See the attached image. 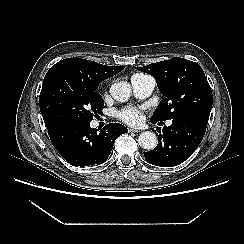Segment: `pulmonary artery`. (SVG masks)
Masks as SVG:
<instances>
[{
	"label": "pulmonary artery",
	"instance_id": "obj_1",
	"mask_svg": "<svg viewBox=\"0 0 244 244\" xmlns=\"http://www.w3.org/2000/svg\"><path fill=\"white\" fill-rule=\"evenodd\" d=\"M131 84L134 91V94L138 98H146L148 97L155 87V80L153 77L148 75H134L131 78ZM167 125H171V121L167 122Z\"/></svg>",
	"mask_w": 244,
	"mask_h": 244
}]
</instances>
